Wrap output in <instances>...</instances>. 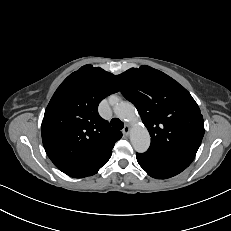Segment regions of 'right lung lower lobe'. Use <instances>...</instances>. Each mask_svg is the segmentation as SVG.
Segmentation results:
<instances>
[{
	"mask_svg": "<svg viewBox=\"0 0 231 231\" xmlns=\"http://www.w3.org/2000/svg\"><path fill=\"white\" fill-rule=\"evenodd\" d=\"M111 153H109L107 156H105L103 159H101L97 164L93 165L92 167H90L89 169L81 172L80 174L74 176L76 178H82V177H87V176H91L94 175L95 173L98 172V170L104 165L106 164V162L110 159L111 157Z\"/></svg>",
	"mask_w": 231,
	"mask_h": 231,
	"instance_id": "98d812e1",
	"label": "right lung lower lobe"
}]
</instances>
